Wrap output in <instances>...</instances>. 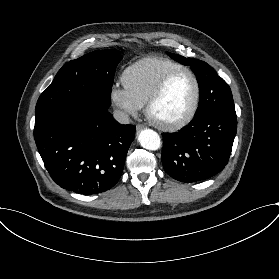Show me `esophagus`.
Masks as SVG:
<instances>
[{
  "label": "esophagus",
  "mask_w": 279,
  "mask_h": 279,
  "mask_svg": "<svg viewBox=\"0 0 279 279\" xmlns=\"http://www.w3.org/2000/svg\"><path fill=\"white\" fill-rule=\"evenodd\" d=\"M144 128L145 126L143 124H137L136 133L139 134Z\"/></svg>",
  "instance_id": "34e87169"
}]
</instances>
